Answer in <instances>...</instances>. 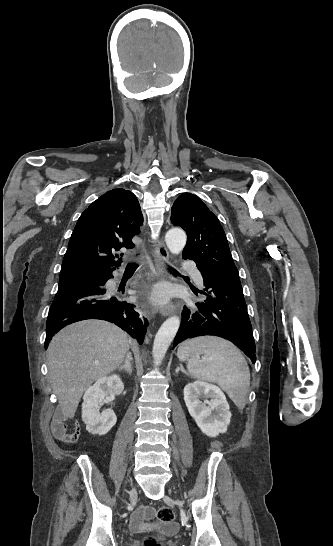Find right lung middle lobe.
I'll return each mask as SVG.
<instances>
[{"instance_id":"1","label":"right lung middle lobe","mask_w":333,"mask_h":546,"mask_svg":"<svg viewBox=\"0 0 333 546\" xmlns=\"http://www.w3.org/2000/svg\"><path fill=\"white\" fill-rule=\"evenodd\" d=\"M105 280H106V276L104 275L91 276V277L78 278V279H70V280H61L59 282L58 291L68 289V288H73V287L90 285V284L104 285Z\"/></svg>"}]
</instances>
